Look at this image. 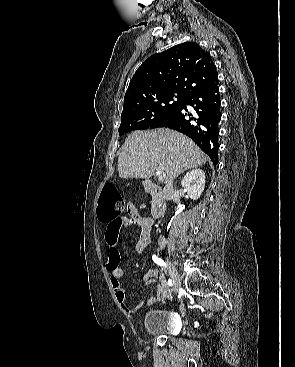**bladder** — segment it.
I'll return each mask as SVG.
<instances>
[{
  "instance_id": "31cf9c89",
  "label": "bladder",
  "mask_w": 295,
  "mask_h": 367,
  "mask_svg": "<svg viewBox=\"0 0 295 367\" xmlns=\"http://www.w3.org/2000/svg\"><path fill=\"white\" fill-rule=\"evenodd\" d=\"M177 325V318L172 312L150 308L145 313L144 329L149 335H171L176 331Z\"/></svg>"
}]
</instances>
